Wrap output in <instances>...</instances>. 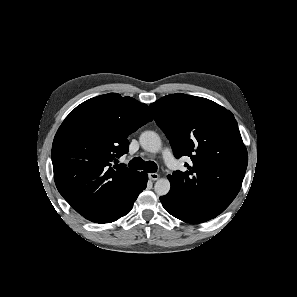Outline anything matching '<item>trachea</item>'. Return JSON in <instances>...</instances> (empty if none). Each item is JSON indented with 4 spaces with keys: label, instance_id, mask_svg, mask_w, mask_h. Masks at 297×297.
<instances>
[{
    "label": "trachea",
    "instance_id": "1",
    "mask_svg": "<svg viewBox=\"0 0 297 297\" xmlns=\"http://www.w3.org/2000/svg\"><path fill=\"white\" fill-rule=\"evenodd\" d=\"M128 166L133 169L137 170H144L148 173H154L157 171V165L153 161H147L145 162L141 157H135L133 158Z\"/></svg>",
    "mask_w": 297,
    "mask_h": 297
}]
</instances>
